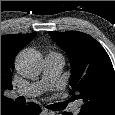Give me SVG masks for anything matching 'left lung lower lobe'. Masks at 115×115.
<instances>
[{
    "label": "left lung lower lobe",
    "instance_id": "0a47b994",
    "mask_svg": "<svg viewBox=\"0 0 115 115\" xmlns=\"http://www.w3.org/2000/svg\"><path fill=\"white\" fill-rule=\"evenodd\" d=\"M63 115H72V113H70V112H63ZM78 115H83V114L79 113Z\"/></svg>",
    "mask_w": 115,
    "mask_h": 115
}]
</instances>
